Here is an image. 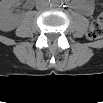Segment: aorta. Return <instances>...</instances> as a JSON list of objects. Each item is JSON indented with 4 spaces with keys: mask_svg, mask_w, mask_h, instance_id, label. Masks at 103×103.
Instances as JSON below:
<instances>
[{
    "mask_svg": "<svg viewBox=\"0 0 103 103\" xmlns=\"http://www.w3.org/2000/svg\"><path fill=\"white\" fill-rule=\"evenodd\" d=\"M51 4H52V5H56V3H55V2H52Z\"/></svg>",
    "mask_w": 103,
    "mask_h": 103,
    "instance_id": "obj_1",
    "label": "aorta"
}]
</instances>
